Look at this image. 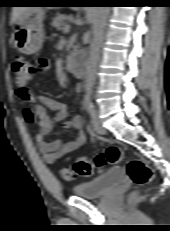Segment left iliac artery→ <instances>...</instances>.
<instances>
[{
    "mask_svg": "<svg viewBox=\"0 0 170 231\" xmlns=\"http://www.w3.org/2000/svg\"><path fill=\"white\" fill-rule=\"evenodd\" d=\"M84 105H85V108L88 114L91 117H94L96 115V110H95V107L92 101V90L91 89L86 90V94L84 97Z\"/></svg>",
    "mask_w": 170,
    "mask_h": 231,
    "instance_id": "1",
    "label": "left iliac artery"
}]
</instances>
